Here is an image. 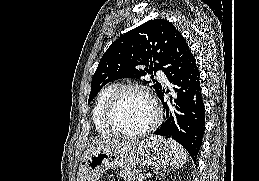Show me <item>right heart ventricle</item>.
Here are the masks:
<instances>
[{
  "label": "right heart ventricle",
  "instance_id": "1",
  "mask_svg": "<svg viewBox=\"0 0 259 181\" xmlns=\"http://www.w3.org/2000/svg\"><path fill=\"white\" fill-rule=\"evenodd\" d=\"M117 87L118 86L116 84H110L104 87L98 93L92 108L91 116L94 127L96 131L102 136L114 135V133L110 130V128L106 125L104 121V111L110 96L116 90Z\"/></svg>",
  "mask_w": 259,
  "mask_h": 181
}]
</instances>
